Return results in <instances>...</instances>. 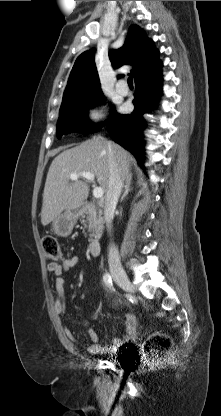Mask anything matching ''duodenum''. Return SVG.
Wrapping results in <instances>:
<instances>
[{
	"instance_id": "1",
	"label": "duodenum",
	"mask_w": 221,
	"mask_h": 416,
	"mask_svg": "<svg viewBox=\"0 0 221 416\" xmlns=\"http://www.w3.org/2000/svg\"><path fill=\"white\" fill-rule=\"evenodd\" d=\"M89 206H91V205L87 204V203L78 205L77 207H75L72 210V214H78V213L81 212V210L83 208H87ZM100 248H101V238L95 237L90 241L87 251H88L89 255H91V256H98L99 253H100Z\"/></svg>"
}]
</instances>
